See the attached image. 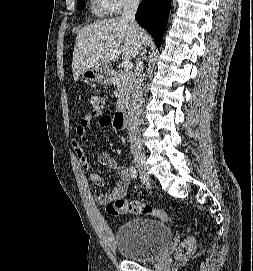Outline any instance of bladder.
I'll return each mask as SVG.
<instances>
[{
	"label": "bladder",
	"mask_w": 253,
	"mask_h": 271,
	"mask_svg": "<svg viewBox=\"0 0 253 271\" xmlns=\"http://www.w3.org/2000/svg\"><path fill=\"white\" fill-rule=\"evenodd\" d=\"M171 238V230L166 223L135 218L119 226L115 234V244L124 259L146 262L159 257Z\"/></svg>",
	"instance_id": "bladder-1"
}]
</instances>
